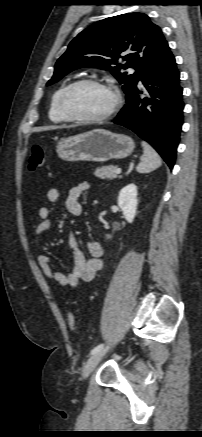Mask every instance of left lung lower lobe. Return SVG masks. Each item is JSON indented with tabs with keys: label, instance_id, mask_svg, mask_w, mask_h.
<instances>
[{
	"label": "left lung lower lobe",
	"instance_id": "obj_1",
	"mask_svg": "<svg viewBox=\"0 0 202 437\" xmlns=\"http://www.w3.org/2000/svg\"><path fill=\"white\" fill-rule=\"evenodd\" d=\"M140 80L145 97L136 86L113 122L149 142L172 169L183 124L184 102L180 72L169 47Z\"/></svg>",
	"mask_w": 202,
	"mask_h": 437
}]
</instances>
